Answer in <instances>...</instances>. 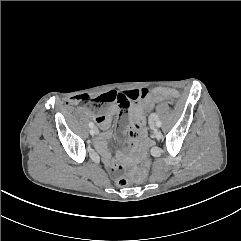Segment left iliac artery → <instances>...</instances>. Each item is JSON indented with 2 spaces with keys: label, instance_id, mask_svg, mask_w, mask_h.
Instances as JSON below:
<instances>
[{
  "label": "left iliac artery",
  "instance_id": "44dca946",
  "mask_svg": "<svg viewBox=\"0 0 241 241\" xmlns=\"http://www.w3.org/2000/svg\"><path fill=\"white\" fill-rule=\"evenodd\" d=\"M161 125H162L161 121H160V120H157V121H156V126H157V127H161Z\"/></svg>",
  "mask_w": 241,
  "mask_h": 241
}]
</instances>
